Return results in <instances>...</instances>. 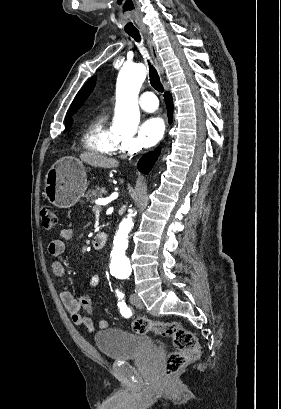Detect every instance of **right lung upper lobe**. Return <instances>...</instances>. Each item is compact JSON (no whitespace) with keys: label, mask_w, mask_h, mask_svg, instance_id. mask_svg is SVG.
<instances>
[{"label":"right lung upper lobe","mask_w":281,"mask_h":409,"mask_svg":"<svg viewBox=\"0 0 281 409\" xmlns=\"http://www.w3.org/2000/svg\"><path fill=\"white\" fill-rule=\"evenodd\" d=\"M65 125H71V119L69 117V114L66 116V124Z\"/></svg>","instance_id":"obj_1"}]
</instances>
